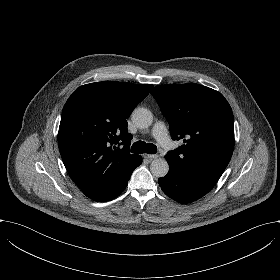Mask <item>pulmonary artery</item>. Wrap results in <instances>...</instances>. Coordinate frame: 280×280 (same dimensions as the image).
Wrapping results in <instances>:
<instances>
[{
  "label": "pulmonary artery",
  "instance_id": "e3ab8cb5",
  "mask_svg": "<svg viewBox=\"0 0 280 280\" xmlns=\"http://www.w3.org/2000/svg\"><path fill=\"white\" fill-rule=\"evenodd\" d=\"M152 136L164 149L169 150L174 148V144L168 136V132L164 122L158 121L155 123L152 129Z\"/></svg>",
  "mask_w": 280,
  "mask_h": 280
}]
</instances>
